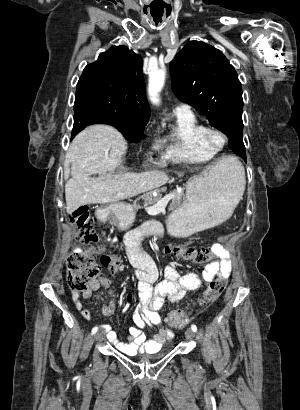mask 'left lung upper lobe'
Here are the masks:
<instances>
[{"label": "left lung upper lobe", "mask_w": 300, "mask_h": 410, "mask_svg": "<svg viewBox=\"0 0 300 410\" xmlns=\"http://www.w3.org/2000/svg\"><path fill=\"white\" fill-rule=\"evenodd\" d=\"M172 88L229 138V148L243 159L242 86L221 51L191 41L170 62Z\"/></svg>", "instance_id": "obj_1"}]
</instances>
